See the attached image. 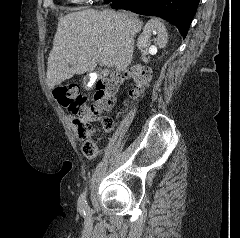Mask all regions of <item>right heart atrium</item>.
Returning a JSON list of instances; mask_svg holds the SVG:
<instances>
[{
    "instance_id": "right-heart-atrium-1",
    "label": "right heart atrium",
    "mask_w": 240,
    "mask_h": 238,
    "mask_svg": "<svg viewBox=\"0 0 240 238\" xmlns=\"http://www.w3.org/2000/svg\"><path fill=\"white\" fill-rule=\"evenodd\" d=\"M77 3H81V4H88V3H92L93 1L96 0H74Z\"/></svg>"
}]
</instances>
